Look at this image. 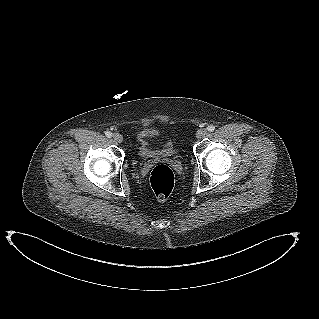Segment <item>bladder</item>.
I'll return each mask as SVG.
<instances>
[{
	"instance_id": "1",
	"label": "bladder",
	"mask_w": 319,
	"mask_h": 319,
	"mask_svg": "<svg viewBox=\"0 0 319 319\" xmlns=\"http://www.w3.org/2000/svg\"><path fill=\"white\" fill-rule=\"evenodd\" d=\"M157 135L155 130H143L137 136L138 154L143 159L174 157L177 151L171 141H166L161 147H154L150 139Z\"/></svg>"
}]
</instances>
